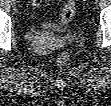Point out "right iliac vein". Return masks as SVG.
<instances>
[{
  "instance_id": "63e3f726",
  "label": "right iliac vein",
  "mask_w": 111,
  "mask_h": 106,
  "mask_svg": "<svg viewBox=\"0 0 111 106\" xmlns=\"http://www.w3.org/2000/svg\"><path fill=\"white\" fill-rule=\"evenodd\" d=\"M10 3H11L12 6L16 5V1L15 0H11Z\"/></svg>"
}]
</instances>
